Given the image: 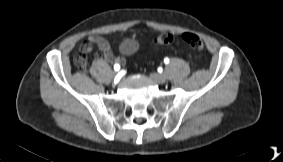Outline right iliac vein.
<instances>
[{"mask_svg":"<svg viewBox=\"0 0 283 162\" xmlns=\"http://www.w3.org/2000/svg\"><path fill=\"white\" fill-rule=\"evenodd\" d=\"M115 77H118V72H112L111 73V78H115Z\"/></svg>","mask_w":283,"mask_h":162,"instance_id":"right-iliac-vein-1","label":"right iliac vein"}]
</instances>
